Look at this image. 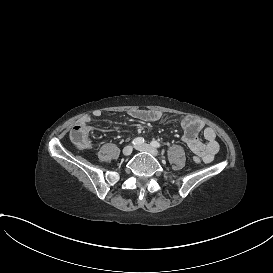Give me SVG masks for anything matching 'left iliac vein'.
Wrapping results in <instances>:
<instances>
[{
    "label": "left iliac vein",
    "mask_w": 273,
    "mask_h": 273,
    "mask_svg": "<svg viewBox=\"0 0 273 273\" xmlns=\"http://www.w3.org/2000/svg\"><path fill=\"white\" fill-rule=\"evenodd\" d=\"M135 149L140 152H149L153 156H158V151L148 144H142V145L135 146Z\"/></svg>",
    "instance_id": "4c4485c4"
}]
</instances>
